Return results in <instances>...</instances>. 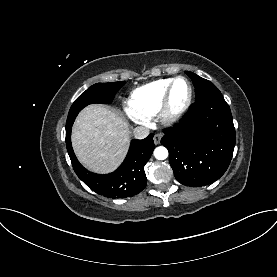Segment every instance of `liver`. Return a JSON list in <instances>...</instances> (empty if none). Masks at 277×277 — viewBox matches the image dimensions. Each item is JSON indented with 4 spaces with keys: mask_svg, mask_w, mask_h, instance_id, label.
Returning <instances> with one entry per match:
<instances>
[{
    "mask_svg": "<svg viewBox=\"0 0 277 277\" xmlns=\"http://www.w3.org/2000/svg\"><path fill=\"white\" fill-rule=\"evenodd\" d=\"M71 139L76 156L86 168L95 173H109L127 153L128 123L104 106L89 105L76 118Z\"/></svg>",
    "mask_w": 277,
    "mask_h": 277,
    "instance_id": "obj_1",
    "label": "liver"
}]
</instances>
